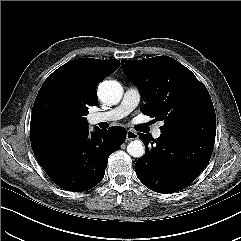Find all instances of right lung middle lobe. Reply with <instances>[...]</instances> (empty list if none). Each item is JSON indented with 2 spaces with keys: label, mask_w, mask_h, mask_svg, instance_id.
Instances as JSON below:
<instances>
[{
  "label": "right lung middle lobe",
  "mask_w": 241,
  "mask_h": 241,
  "mask_svg": "<svg viewBox=\"0 0 241 241\" xmlns=\"http://www.w3.org/2000/svg\"><path fill=\"white\" fill-rule=\"evenodd\" d=\"M72 118L71 111L65 104L56 103L44 111L42 122L49 130H61L72 123Z\"/></svg>",
  "instance_id": "right-lung-middle-lobe-1"
}]
</instances>
